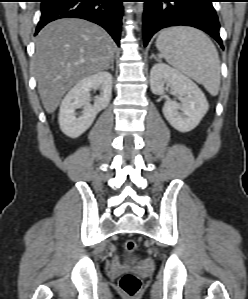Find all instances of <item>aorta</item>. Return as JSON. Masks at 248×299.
<instances>
[{
  "instance_id": "obj_1",
  "label": "aorta",
  "mask_w": 248,
  "mask_h": 299,
  "mask_svg": "<svg viewBox=\"0 0 248 299\" xmlns=\"http://www.w3.org/2000/svg\"><path fill=\"white\" fill-rule=\"evenodd\" d=\"M143 10H144V3L143 2H138V4H137V13L142 14Z\"/></svg>"
}]
</instances>
